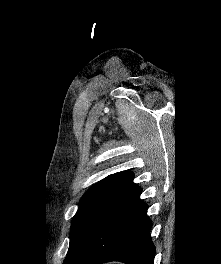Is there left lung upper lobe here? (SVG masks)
I'll use <instances>...</instances> for the list:
<instances>
[{"mask_svg": "<svg viewBox=\"0 0 221 264\" xmlns=\"http://www.w3.org/2000/svg\"><path fill=\"white\" fill-rule=\"evenodd\" d=\"M134 175L127 171L107 176L83 195L71 225L70 253L87 234L119 203L130 196L138 186Z\"/></svg>", "mask_w": 221, "mask_h": 264, "instance_id": "1", "label": "left lung upper lobe"}]
</instances>
